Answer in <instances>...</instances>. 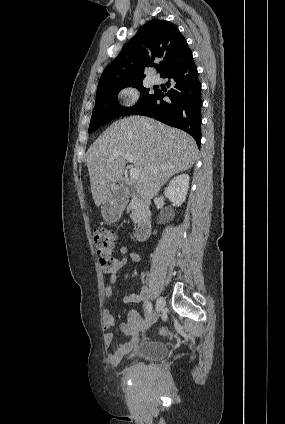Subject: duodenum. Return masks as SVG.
Listing matches in <instances>:
<instances>
[{"label":"duodenum","instance_id":"obj_1","mask_svg":"<svg viewBox=\"0 0 285 424\" xmlns=\"http://www.w3.org/2000/svg\"><path fill=\"white\" fill-rule=\"evenodd\" d=\"M122 188L127 192H134L137 190L136 184L130 178H123L121 180ZM139 220L135 228V239L138 242L146 241L152 229V212L143 202L139 204Z\"/></svg>","mask_w":285,"mask_h":424}]
</instances>
